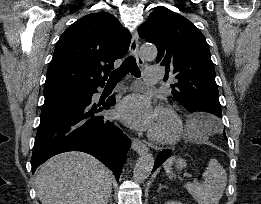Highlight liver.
<instances>
[{
  "instance_id": "obj_1",
  "label": "liver",
  "mask_w": 261,
  "mask_h": 204,
  "mask_svg": "<svg viewBox=\"0 0 261 204\" xmlns=\"http://www.w3.org/2000/svg\"><path fill=\"white\" fill-rule=\"evenodd\" d=\"M35 186L42 204H107L112 179L99 160L71 151L56 155L40 166Z\"/></svg>"
}]
</instances>
